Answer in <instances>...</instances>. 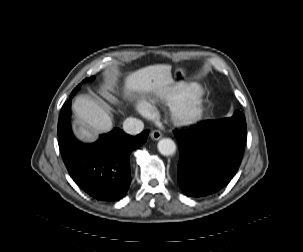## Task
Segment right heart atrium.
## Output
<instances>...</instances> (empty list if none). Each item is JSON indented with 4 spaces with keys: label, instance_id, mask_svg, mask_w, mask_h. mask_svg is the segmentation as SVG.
<instances>
[{
    "label": "right heart atrium",
    "instance_id": "1",
    "mask_svg": "<svg viewBox=\"0 0 303 252\" xmlns=\"http://www.w3.org/2000/svg\"><path fill=\"white\" fill-rule=\"evenodd\" d=\"M135 109L140 115L145 116V117L149 116L152 112V109L150 108V106H148L147 104H145L143 102L136 103Z\"/></svg>",
    "mask_w": 303,
    "mask_h": 252
}]
</instances>
